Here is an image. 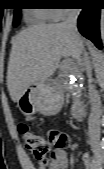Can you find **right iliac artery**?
<instances>
[{"instance_id":"obj_1","label":"right iliac artery","mask_w":104,"mask_h":169,"mask_svg":"<svg viewBox=\"0 0 104 169\" xmlns=\"http://www.w3.org/2000/svg\"><path fill=\"white\" fill-rule=\"evenodd\" d=\"M92 163H93L92 169H101L95 158L92 159Z\"/></svg>"}]
</instances>
